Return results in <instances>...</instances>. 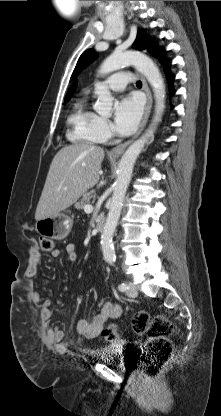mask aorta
<instances>
[{
  "label": "aorta",
  "mask_w": 221,
  "mask_h": 416,
  "mask_svg": "<svg viewBox=\"0 0 221 416\" xmlns=\"http://www.w3.org/2000/svg\"><path fill=\"white\" fill-rule=\"evenodd\" d=\"M125 65H133L145 76L152 86L155 98V115L148 130L128 147L118 165L117 179L114 183L111 205L101 235L103 257L109 264H113L116 259L112 238L120 218L134 164L148 139L153 136L156 126L161 121L165 108V84L163 78L158 67L147 55L139 51L114 52L104 60L99 72L101 74H109ZM95 93L98 99L94 105V110L102 115L109 114L113 105V97L110 91L104 86H98L95 89Z\"/></svg>",
  "instance_id": "aorta-1"
}]
</instances>
